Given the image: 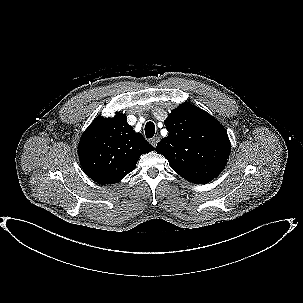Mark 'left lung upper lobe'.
I'll return each mask as SVG.
<instances>
[{
  "label": "left lung upper lobe",
  "mask_w": 303,
  "mask_h": 303,
  "mask_svg": "<svg viewBox=\"0 0 303 303\" xmlns=\"http://www.w3.org/2000/svg\"><path fill=\"white\" fill-rule=\"evenodd\" d=\"M164 124L169 134L155 150L176 173L204 184L222 172L231 146L227 131L213 116L186 102L172 111Z\"/></svg>",
  "instance_id": "1"
}]
</instances>
